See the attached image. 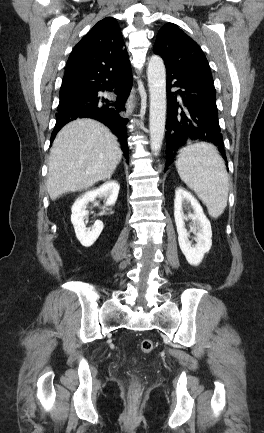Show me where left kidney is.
<instances>
[{
	"instance_id": "obj_1",
	"label": "left kidney",
	"mask_w": 264,
	"mask_h": 433,
	"mask_svg": "<svg viewBox=\"0 0 264 433\" xmlns=\"http://www.w3.org/2000/svg\"><path fill=\"white\" fill-rule=\"evenodd\" d=\"M191 204L194 210L193 214L188 217L192 219L194 227L197 230L198 241L195 245L189 241V234L185 228L183 213L184 204ZM174 218L177 226L179 246L190 265L198 266L212 246V230L208 218L205 216L203 209L197 199L182 187L175 190L174 200Z\"/></svg>"
}]
</instances>
